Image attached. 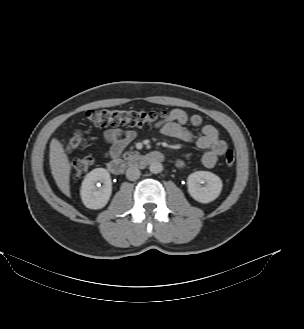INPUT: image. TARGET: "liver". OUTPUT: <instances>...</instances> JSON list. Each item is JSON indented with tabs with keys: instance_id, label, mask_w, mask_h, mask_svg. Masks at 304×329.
Masks as SVG:
<instances>
[{
	"instance_id": "liver-1",
	"label": "liver",
	"mask_w": 304,
	"mask_h": 329,
	"mask_svg": "<svg viewBox=\"0 0 304 329\" xmlns=\"http://www.w3.org/2000/svg\"><path fill=\"white\" fill-rule=\"evenodd\" d=\"M49 163L56 185L63 194L70 197L71 165L63 144L56 138L50 143Z\"/></svg>"
}]
</instances>
